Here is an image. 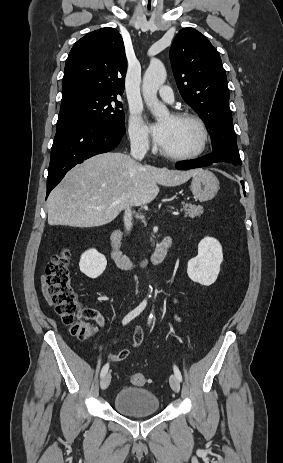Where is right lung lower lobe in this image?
<instances>
[{"label": "right lung lower lobe", "mask_w": 283, "mask_h": 463, "mask_svg": "<svg viewBox=\"0 0 283 463\" xmlns=\"http://www.w3.org/2000/svg\"><path fill=\"white\" fill-rule=\"evenodd\" d=\"M125 130L85 123L56 131L51 148L47 196L76 164L96 154L106 153L120 143Z\"/></svg>", "instance_id": "right-lung-lower-lobe-1"}]
</instances>
